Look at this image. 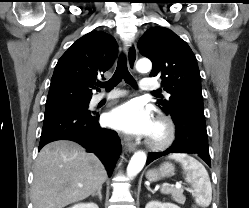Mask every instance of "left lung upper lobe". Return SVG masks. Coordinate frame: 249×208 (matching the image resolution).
Returning <instances> with one entry per match:
<instances>
[{
  "label": "left lung upper lobe",
  "mask_w": 249,
  "mask_h": 208,
  "mask_svg": "<svg viewBox=\"0 0 249 208\" xmlns=\"http://www.w3.org/2000/svg\"><path fill=\"white\" fill-rule=\"evenodd\" d=\"M142 55L153 63L151 77L162 79L168 100H158L159 108L171 116L179 110L204 114L201 77L189 45L164 27L148 29L138 41Z\"/></svg>",
  "instance_id": "obj_1"
}]
</instances>
